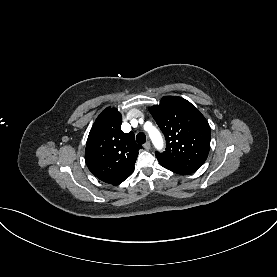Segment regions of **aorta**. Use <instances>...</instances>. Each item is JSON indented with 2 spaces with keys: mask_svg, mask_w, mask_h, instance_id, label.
<instances>
[{
  "mask_svg": "<svg viewBox=\"0 0 277 277\" xmlns=\"http://www.w3.org/2000/svg\"><path fill=\"white\" fill-rule=\"evenodd\" d=\"M149 136H150L153 144L155 145V147L157 149H161L163 146V140H162L160 132L156 128L152 127L149 130Z\"/></svg>",
  "mask_w": 277,
  "mask_h": 277,
  "instance_id": "aorta-1",
  "label": "aorta"
}]
</instances>
